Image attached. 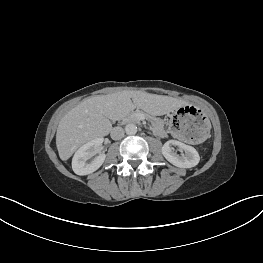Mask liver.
<instances>
[{
  "label": "liver",
  "mask_w": 263,
  "mask_h": 263,
  "mask_svg": "<svg viewBox=\"0 0 263 263\" xmlns=\"http://www.w3.org/2000/svg\"><path fill=\"white\" fill-rule=\"evenodd\" d=\"M183 105L185 102L179 98L128 90L86 98L59 122V156L66 161L82 144L108 135L112 129L110 120L121 119L136 107L153 115H164Z\"/></svg>",
  "instance_id": "6515ba94"
}]
</instances>
